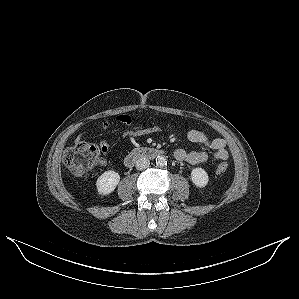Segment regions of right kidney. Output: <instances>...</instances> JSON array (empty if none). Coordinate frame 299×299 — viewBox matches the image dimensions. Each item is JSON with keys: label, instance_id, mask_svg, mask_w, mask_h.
<instances>
[{"label": "right kidney", "instance_id": "ca27d5eb", "mask_svg": "<svg viewBox=\"0 0 299 299\" xmlns=\"http://www.w3.org/2000/svg\"><path fill=\"white\" fill-rule=\"evenodd\" d=\"M120 181V175L109 170L104 172L96 181V186L99 194L107 195L113 192Z\"/></svg>", "mask_w": 299, "mask_h": 299}]
</instances>
